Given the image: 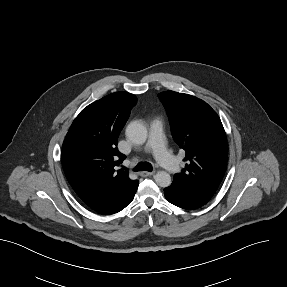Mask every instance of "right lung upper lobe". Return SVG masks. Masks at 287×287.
Wrapping results in <instances>:
<instances>
[{
  "instance_id": "cb5924a9",
  "label": "right lung upper lobe",
  "mask_w": 287,
  "mask_h": 287,
  "mask_svg": "<svg viewBox=\"0 0 287 287\" xmlns=\"http://www.w3.org/2000/svg\"><path fill=\"white\" fill-rule=\"evenodd\" d=\"M137 98L115 92L85 107L73 121L62 146L68 182L80 197L134 182L128 172H115L125 156L117 150L119 134Z\"/></svg>"
}]
</instances>
